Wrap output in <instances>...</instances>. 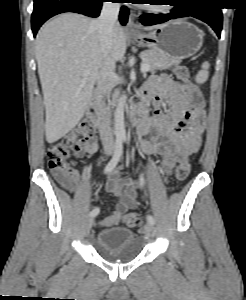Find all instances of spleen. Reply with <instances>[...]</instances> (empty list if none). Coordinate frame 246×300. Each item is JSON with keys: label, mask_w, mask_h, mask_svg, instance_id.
Wrapping results in <instances>:
<instances>
[{"label": "spleen", "mask_w": 246, "mask_h": 300, "mask_svg": "<svg viewBox=\"0 0 246 300\" xmlns=\"http://www.w3.org/2000/svg\"><path fill=\"white\" fill-rule=\"evenodd\" d=\"M210 65L207 61L203 62L201 65V70L197 73L195 77V81L198 84H202L207 81L209 76V69Z\"/></svg>", "instance_id": "1"}]
</instances>
